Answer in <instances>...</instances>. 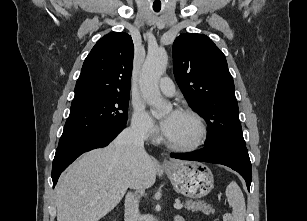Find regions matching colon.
Returning <instances> with one entry per match:
<instances>
[{"instance_id":"colon-1","label":"colon","mask_w":307,"mask_h":221,"mask_svg":"<svg viewBox=\"0 0 307 221\" xmlns=\"http://www.w3.org/2000/svg\"><path fill=\"white\" fill-rule=\"evenodd\" d=\"M223 221H234V218L231 213H225L223 216Z\"/></svg>"}]
</instances>
